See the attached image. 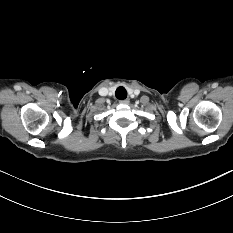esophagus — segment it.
I'll return each instance as SVG.
<instances>
[{"instance_id": "1", "label": "esophagus", "mask_w": 233, "mask_h": 233, "mask_svg": "<svg viewBox=\"0 0 233 233\" xmlns=\"http://www.w3.org/2000/svg\"><path fill=\"white\" fill-rule=\"evenodd\" d=\"M129 102H130L129 99H125V100L120 101L121 104H125V105H128Z\"/></svg>"}]
</instances>
